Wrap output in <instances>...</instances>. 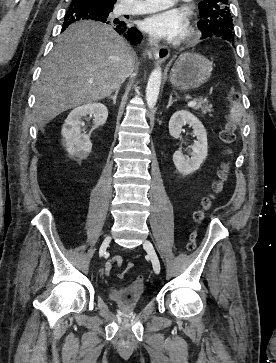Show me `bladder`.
I'll list each match as a JSON object with an SVG mask.
<instances>
[{"label": "bladder", "instance_id": "1", "mask_svg": "<svg viewBox=\"0 0 276 363\" xmlns=\"http://www.w3.org/2000/svg\"><path fill=\"white\" fill-rule=\"evenodd\" d=\"M110 300L123 308H134L143 303V286L130 284L122 287L110 288L107 292Z\"/></svg>", "mask_w": 276, "mask_h": 363}]
</instances>
